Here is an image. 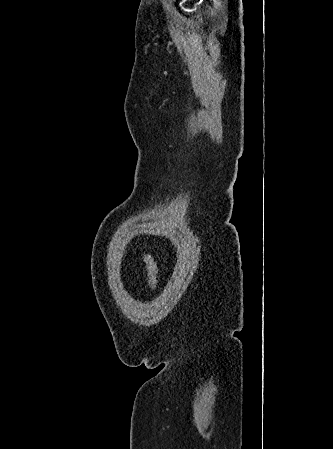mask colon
<instances>
[{"label": "colon", "mask_w": 333, "mask_h": 449, "mask_svg": "<svg viewBox=\"0 0 333 449\" xmlns=\"http://www.w3.org/2000/svg\"><path fill=\"white\" fill-rule=\"evenodd\" d=\"M140 258L144 264V269L146 272V279L150 289H155L157 284V274H158V264L155 258L146 252L140 253Z\"/></svg>", "instance_id": "obj_1"}]
</instances>
